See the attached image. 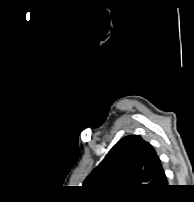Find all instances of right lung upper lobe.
Wrapping results in <instances>:
<instances>
[{
  "label": "right lung upper lobe",
  "mask_w": 194,
  "mask_h": 202,
  "mask_svg": "<svg viewBox=\"0 0 194 202\" xmlns=\"http://www.w3.org/2000/svg\"><path fill=\"white\" fill-rule=\"evenodd\" d=\"M83 185L105 196H149L166 188L167 179L151 144L129 135L113 146Z\"/></svg>",
  "instance_id": "obj_1"
}]
</instances>
